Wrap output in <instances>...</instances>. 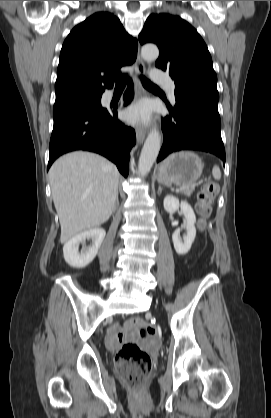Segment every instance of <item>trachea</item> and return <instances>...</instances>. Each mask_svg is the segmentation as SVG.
Here are the masks:
<instances>
[{
  "label": "trachea",
  "mask_w": 271,
  "mask_h": 418,
  "mask_svg": "<svg viewBox=\"0 0 271 418\" xmlns=\"http://www.w3.org/2000/svg\"><path fill=\"white\" fill-rule=\"evenodd\" d=\"M140 78H141V82H142L144 87H146V88H158L155 84H153L146 77L141 75ZM116 86H125L124 76H122V77H120L116 80Z\"/></svg>",
  "instance_id": "trachea-1"
}]
</instances>
